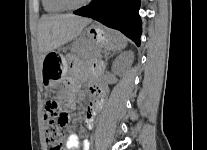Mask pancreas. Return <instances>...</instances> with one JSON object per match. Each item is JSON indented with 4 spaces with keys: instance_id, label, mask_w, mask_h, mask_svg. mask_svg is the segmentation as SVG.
Instances as JSON below:
<instances>
[{
    "instance_id": "cf45deb5",
    "label": "pancreas",
    "mask_w": 207,
    "mask_h": 150,
    "mask_svg": "<svg viewBox=\"0 0 207 150\" xmlns=\"http://www.w3.org/2000/svg\"><path fill=\"white\" fill-rule=\"evenodd\" d=\"M100 52H101L100 49H98V48H96V47H92V48H90L88 51H86V52L84 53V55H85L86 57H88V58H91V59L95 60L96 58H94L93 56H94L95 54H99Z\"/></svg>"
}]
</instances>
